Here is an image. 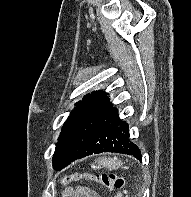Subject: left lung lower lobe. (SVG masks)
Here are the masks:
<instances>
[{
  "label": "left lung lower lobe",
  "instance_id": "0a47b994",
  "mask_svg": "<svg viewBox=\"0 0 191 197\" xmlns=\"http://www.w3.org/2000/svg\"><path fill=\"white\" fill-rule=\"evenodd\" d=\"M106 95L86 100L74 112L67 130L73 150L56 170L93 153L117 152L141 160L140 149L128 139V124L120 120Z\"/></svg>",
  "mask_w": 191,
  "mask_h": 197
}]
</instances>
